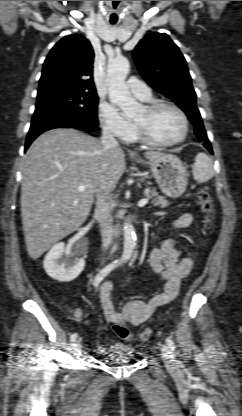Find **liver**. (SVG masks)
Segmentation results:
<instances>
[{"label": "liver", "mask_w": 242, "mask_h": 416, "mask_svg": "<svg viewBox=\"0 0 242 416\" xmlns=\"http://www.w3.org/2000/svg\"><path fill=\"white\" fill-rule=\"evenodd\" d=\"M163 155L144 153L150 160ZM124 156L120 147L105 150L100 140L73 128L49 130L31 144L23 166L21 212L32 259L85 222L95 193L115 189L126 168Z\"/></svg>", "instance_id": "1"}]
</instances>
